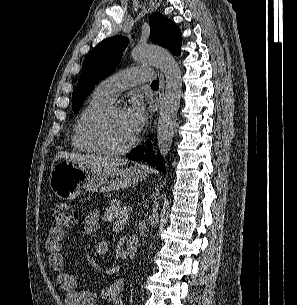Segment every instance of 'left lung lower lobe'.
I'll use <instances>...</instances> for the list:
<instances>
[{"instance_id": "1", "label": "left lung lower lobe", "mask_w": 297, "mask_h": 305, "mask_svg": "<svg viewBox=\"0 0 297 305\" xmlns=\"http://www.w3.org/2000/svg\"><path fill=\"white\" fill-rule=\"evenodd\" d=\"M149 147L145 151L144 146H138L136 149H134L132 152L126 155V157L130 160H136L140 161L143 158H145L146 162L151 166H156L160 171L163 173L166 172L165 166H164V160L160 154H157L155 157L154 151L151 150V144H147Z\"/></svg>"}]
</instances>
